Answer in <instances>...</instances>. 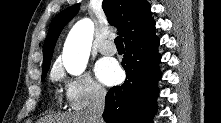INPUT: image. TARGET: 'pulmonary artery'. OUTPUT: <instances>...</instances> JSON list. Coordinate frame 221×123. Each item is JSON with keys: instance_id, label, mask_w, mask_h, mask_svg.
Instances as JSON below:
<instances>
[{"instance_id": "obj_1", "label": "pulmonary artery", "mask_w": 221, "mask_h": 123, "mask_svg": "<svg viewBox=\"0 0 221 123\" xmlns=\"http://www.w3.org/2000/svg\"><path fill=\"white\" fill-rule=\"evenodd\" d=\"M99 51L104 55H113L116 53V47L111 39H106L99 44Z\"/></svg>"}]
</instances>
